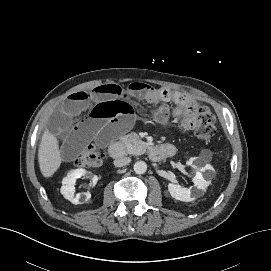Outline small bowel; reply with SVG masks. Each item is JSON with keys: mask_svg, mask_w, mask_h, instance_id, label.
I'll list each match as a JSON object with an SVG mask.
<instances>
[{"mask_svg": "<svg viewBox=\"0 0 271 271\" xmlns=\"http://www.w3.org/2000/svg\"><path fill=\"white\" fill-rule=\"evenodd\" d=\"M186 99L190 98L181 92L156 89L140 82L125 89L114 84L100 85L70 94L52 115L49 132L58 139L62 157L71 161L94 138L104 144L128 131L134 124L138 101L156 105L155 120L165 122L184 112ZM168 103L174 106L169 107ZM84 112L88 115L77 121ZM161 147L168 156L174 155L173 144L165 143Z\"/></svg>", "mask_w": 271, "mask_h": 271, "instance_id": "1", "label": "small bowel"}]
</instances>
